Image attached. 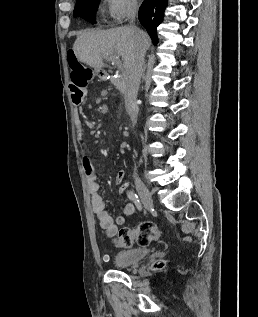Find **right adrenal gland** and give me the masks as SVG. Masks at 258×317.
Instances as JSON below:
<instances>
[{"label":"right adrenal gland","instance_id":"2a0ac1e0","mask_svg":"<svg viewBox=\"0 0 258 317\" xmlns=\"http://www.w3.org/2000/svg\"><path fill=\"white\" fill-rule=\"evenodd\" d=\"M145 68H146V66H145ZM145 68H143V70H142V76H145Z\"/></svg>","mask_w":258,"mask_h":317}]
</instances>
